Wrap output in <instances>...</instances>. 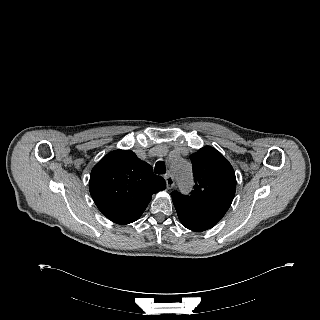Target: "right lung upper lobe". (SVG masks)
<instances>
[{
    "label": "right lung upper lobe",
    "mask_w": 320,
    "mask_h": 320,
    "mask_svg": "<svg viewBox=\"0 0 320 320\" xmlns=\"http://www.w3.org/2000/svg\"><path fill=\"white\" fill-rule=\"evenodd\" d=\"M89 188L98 209L112 222L124 225L136 221L152 194L164 190L166 184L134 152L115 150L94 166Z\"/></svg>",
    "instance_id": "obj_1"
}]
</instances>
